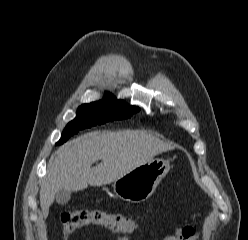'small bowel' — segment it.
<instances>
[{
	"label": "small bowel",
	"mask_w": 248,
	"mask_h": 240,
	"mask_svg": "<svg viewBox=\"0 0 248 240\" xmlns=\"http://www.w3.org/2000/svg\"><path fill=\"white\" fill-rule=\"evenodd\" d=\"M197 234L194 228L190 226L178 227L175 233L170 236H166L161 240H196ZM115 240H132L129 235H120Z\"/></svg>",
	"instance_id": "1"
}]
</instances>
